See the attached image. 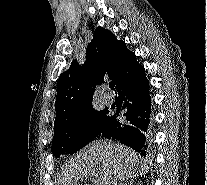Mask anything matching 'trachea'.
<instances>
[{
  "label": "trachea",
  "instance_id": "3493384b",
  "mask_svg": "<svg viewBox=\"0 0 207 185\" xmlns=\"http://www.w3.org/2000/svg\"><path fill=\"white\" fill-rule=\"evenodd\" d=\"M109 86H110V88H111L112 90H114V83H113V82H111V83L109 84Z\"/></svg>",
  "mask_w": 207,
  "mask_h": 185
}]
</instances>
